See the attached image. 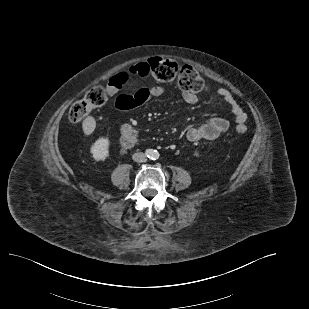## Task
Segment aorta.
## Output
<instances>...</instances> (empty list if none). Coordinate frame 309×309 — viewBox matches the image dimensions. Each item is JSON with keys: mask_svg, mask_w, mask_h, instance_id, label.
Wrapping results in <instances>:
<instances>
[{"mask_svg": "<svg viewBox=\"0 0 309 309\" xmlns=\"http://www.w3.org/2000/svg\"><path fill=\"white\" fill-rule=\"evenodd\" d=\"M149 156L151 159L155 160L159 157V153L157 150H151Z\"/></svg>", "mask_w": 309, "mask_h": 309, "instance_id": "762f6f07", "label": "aorta"}]
</instances>
